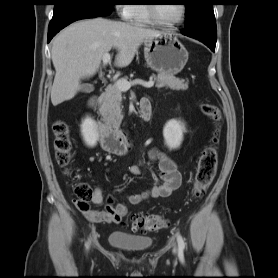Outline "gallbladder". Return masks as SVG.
I'll use <instances>...</instances> for the list:
<instances>
[{
    "label": "gallbladder",
    "mask_w": 278,
    "mask_h": 278,
    "mask_svg": "<svg viewBox=\"0 0 278 278\" xmlns=\"http://www.w3.org/2000/svg\"><path fill=\"white\" fill-rule=\"evenodd\" d=\"M93 90H94V87L91 84H84L81 87V91L83 93H91Z\"/></svg>",
    "instance_id": "obj_1"
}]
</instances>
